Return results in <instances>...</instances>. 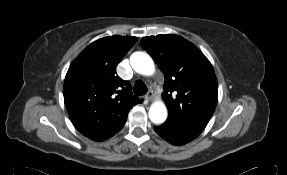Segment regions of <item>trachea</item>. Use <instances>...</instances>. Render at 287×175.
<instances>
[{
  "instance_id": "1",
  "label": "trachea",
  "mask_w": 287,
  "mask_h": 175,
  "mask_svg": "<svg viewBox=\"0 0 287 175\" xmlns=\"http://www.w3.org/2000/svg\"><path fill=\"white\" fill-rule=\"evenodd\" d=\"M147 86L146 84L141 81V80H137L135 82V85H134V93L137 94V95H144L147 93Z\"/></svg>"
}]
</instances>
